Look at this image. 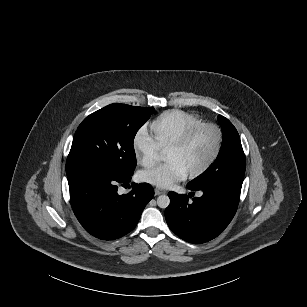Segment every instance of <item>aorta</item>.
I'll list each match as a JSON object with an SVG mask.
<instances>
[{"instance_id": "1", "label": "aorta", "mask_w": 307, "mask_h": 307, "mask_svg": "<svg viewBox=\"0 0 307 307\" xmlns=\"http://www.w3.org/2000/svg\"><path fill=\"white\" fill-rule=\"evenodd\" d=\"M170 204V199L167 195H160L158 198H157V205L160 207V208H167Z\"/></svg>"}]
</instances>
